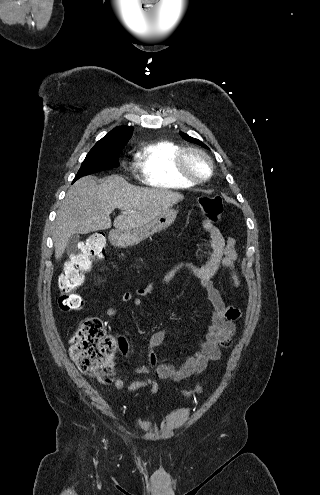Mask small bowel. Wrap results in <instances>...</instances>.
Wrapping results in <instances>:
<instances>
[{
    "mask_svg": "<svg viewBox=\"0 0 320 495\" xmlns=\"http://www.w3.org/2000/svg\"><path fill=\"white\" fill-rule=\"evenodd\" d=\"M210 235L211 255L204 264H194L190 261H183L173 268L164 278L162 284H166L180 271L187 270L200 282L204 289L211 308V322L206 331L204 339L198 344V349L189 355L182 364L178 366L170 365L165 361L159 362L155 348L165 341L168 329L162 328L155 331L146 344V358L148 365L140 366L134 370L135 374L154 373L159 379H167L175 382L189 378L203 372L209 363L217 361L221 356V350L230 348L233 336L236 333V321L241 317L239 309L227 305L218 289L214 286L213 277L221 270L228 269L231 273L233 284L240 287V278L236 271V261L238 258L236 250V240L225 238L220 229L210 220L203 223ZM157 285L149 283L143 288L137 289L134 293L126 291L122 294V302H132L136 307H141L144 299L151 295ZM118 310L109 307L106 310L108 317H115ZM117 389L126 391H136L141 388H149L152 394L158 390V384L154 379L133 381L125 383L122 379L115 380Z\"/></svg>",
    "mask_w": 320,
    "mask_h": 495,
    "instance_id": "obj_1",
    "label": "small bowel"
}]
</instances>
